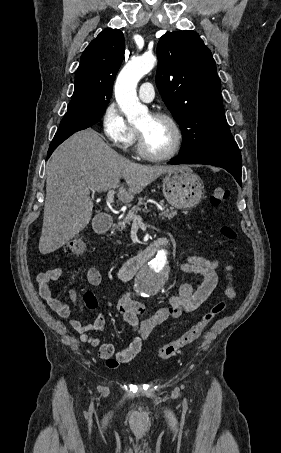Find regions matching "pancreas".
I'll return each instance as SVG.
<instances>
[{"instance_id": "cf45deb5", "label": "pancreas", "mask_w": 281, "mask_h": 453, "mask_svg": "<svg viewBox=\"0 0 281 453\" xmlns=\"http://www.w3.org/2000/svg\"><path fill=\"white\" fill-rule=\"evenodd\" d=\"M144 200L145 198H139V202H137L135 206H132L130 212H128V214H126L124 218H120L117 224H114V229L124 231V229H126V224H131L132 220L131 216H133V214H136V212H139V210H141V204H145V208H147L146 202H144ZM161 206L162 208H164V210H159V216H162V218H164V216H167V218H173V216L177 214L176 210H173V206H170V208H167V206H164V204H161ZM145 208H143V210H145Z\"/></svg>"}]
</instances>
